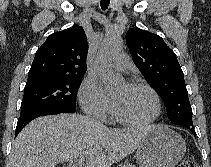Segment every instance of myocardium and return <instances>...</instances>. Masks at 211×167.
Masks as SVG:
<instances>
[{
    "mask_svg": "<svg viewBox=\"0 0 211 167\" xmlns=\"http://www.w3.org/2000/svg\"><path fill=\"white\" fill-rule=\"evenodd\" d=\"M127 85L132 88H142V89H146L147 91H149L152 94V96L154 97L156 111H155V114L148 120L133 121V120H129V119L122 117L116 111V109L113 108V113H114V116L117 119V121L120 122L121 124H124L127 126H147V125L154 123L159 118V116L161 114V101H160V97H159L157 91L149 84L141 82V81H129L127 83Z\"/></svg>",
    "mask_w": 211,
    "mask_h": 167,
    "instance_id": "myocardium-1",
    "label": "myocardium"
}]
</instances>
